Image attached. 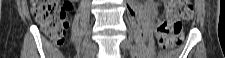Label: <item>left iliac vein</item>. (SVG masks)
I'll return each instance as SVG.
<instances>
[{"instance_id":"4c4485c4","label":"left iliac vein","mask_w":225,"mask_h":58,"mask_svg":"<svg viewBox=\"0 0 225 58\" xmlns=\"http://www.w3.org/2000/svg\"><path fill=\"white\" fill-rule=\"evenodd\" d=\"M121 46L124 49L132 50V44L129 40L125 39L121 42Z\"/></svg>"}]
</instances>
